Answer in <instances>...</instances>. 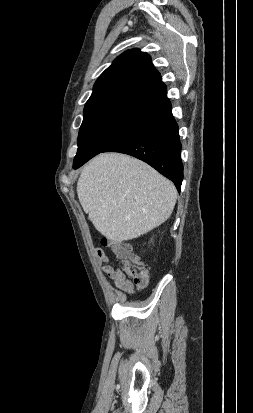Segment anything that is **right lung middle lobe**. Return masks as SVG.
Instances as JSON below:
<instances>
[{"label":"right lung middle lobe","instance_id":"right-lung-middle-lobe-1","mask_svg":"<svg viewBox=\"0 0 253 413\" xmlns=\"http://www.w3.org/2000/svg\"><path fill=\"white\" fill-rule=\"evenodd\" d=\"M147 116L125 112L103 113L85 118L79 130L73 167L82 165L124 138L147 120Z\"/></svg>","mask_w":253,"mask_h":413}]
</instances>
